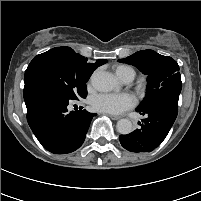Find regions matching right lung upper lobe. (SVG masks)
I'll list each match as a JSON object with an SVG mask.
<instances>
[{
  "mask_svg": "<svg viewBox=\"0 0 201 201\" xmlns=\"http://www.w3.org/2000/svg\"><path fill=\"white\" fill-rule=\"evenodd\" d=\"M51 50L58 51L63 54L69 66L79 75H83L89 79L93 71L100 65L105 64L107 60H97L95 63H89L86 58L75 53L73 49L67 46L53 48Z\"/></svg>",
  "mask_w": 201,
  "mask_h": 201,
  "instance_id": "right-lung-upper-lobe-1",
  "label": "right lung upper lobe"
}]
</instances>
